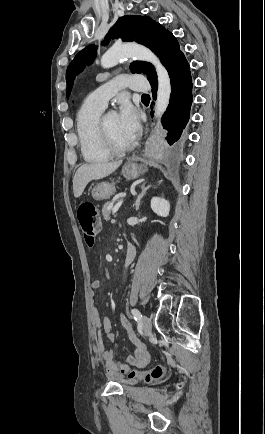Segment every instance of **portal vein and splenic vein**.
Wrapping results in <instances>:
<instances>
[{"mask_svg": "<svg viewBox=\"0 0 265 434\" xmlns=\"http://www.w3.org/2000/svg\"><path fill=\"white\" fill-rule=\"evenodd\" d=\"M121 204H122V200H121V202H118V204H116V206H114V208H112V214H116V212H118Z\"/></svg>", "mask_w": 265, "mask_h": 434, "instance_id": "18ae733b", "label": "portal vein and splenic vein"}]
</instances>
